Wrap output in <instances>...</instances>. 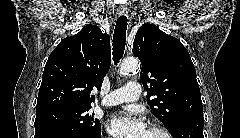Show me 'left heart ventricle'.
<instances>
[{
  "label": "left heart ventricle",
  "instance_id": "left-heart-ventricle-1",
  "mask_svg": "<svg viewBox=\"0 0 240 138\" xmlns=\"http://www.w3.org/2000/svg\"><path fill=\"white\" fill-rule=\"evenodd\" d=\"M145 138H163L162 135L158 132L147 130Z\"/></svg>",
  "mask_w": 240,
  "mask_h": 138
}]
</instances>
